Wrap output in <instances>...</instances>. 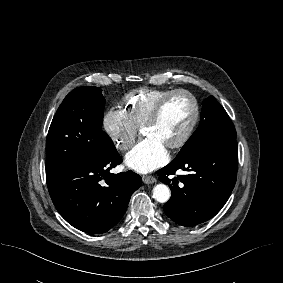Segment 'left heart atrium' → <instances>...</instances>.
<instances>
[{
  "label": "left heart atrium",
  "mask_w": 283,
  "mask_h": 283,
  "mask_svg": "<svg viewBox=\"0 0 283 283\" xmlns=\"http://www.w3.org/2000/svg\"><path fill=\"white\" fill-rule=\"evenodd\" d=\"M167 160L166 146L152 137L143 139L125 157L127 166L139 173H149L164 165Z\"/></svg>",
  "instance_id": "1"
}]
</instances>
